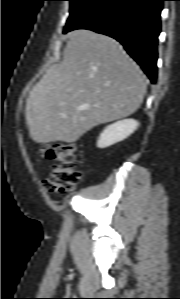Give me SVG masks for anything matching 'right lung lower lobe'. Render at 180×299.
Returning <instances> with one entry per match:
<instances>
[{"label": "right lung lower lobe", "instance_id": "obj_1", "mask_svg": "<svg viewBox=\"0 0 180 299\" xmlns=\"http://www.w3.org/2000/svg\"><path fill=\"white\" fill-rule=\"evenodd\" d=\"M163 1L104 0L65 28L64 33L89 29L115 38L155 83Z\"/></svg>", "mask_w": 180, "mask_h": 299}]
</instances>
